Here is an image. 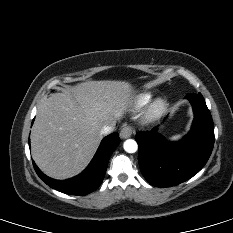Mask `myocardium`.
Returning <instances> with one entry per match:
<instances>
[{
  "instance_id": "obj_1",
  "label": "myocardium",
  "mask_w": 233,
  "mask_h": 233,
  "mask_svg": "<svg viewBox=\"0 0 233 233\" xmlns=\"http://www.w3.org/2000/svg\"><path fill=\"white\" fill-rule=\"evenodd\" d=\"M166 109V102L163 99L152 101L146 109L145 118L147 120H155L159 118Z\"/></svg>"
}]
</instances>
